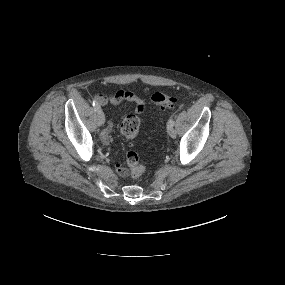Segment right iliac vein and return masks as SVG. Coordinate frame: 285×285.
<instances>
[{"instance_id":"right-iliac-vein-1","label":"right iliac vein","mask_w":285,"mask_h":285,"mask_svg":"<svg viewBox=\"0 0 285 285\" xmlns=\"http://www.w3.org/2000/svg\"><path fill=\"white\" fill-rule=\"evenodd\" d=\"M97 122H98V125L101 126L104 124V121H105V117H104V114L101 110L97 111Z\"/></svg>"}]
</instances>
